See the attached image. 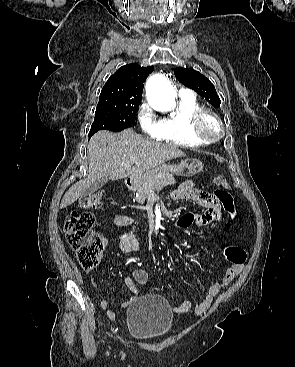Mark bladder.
<instances>
[{
  "mask_svg": "<svg viewBox=\"0 0 295 367\" xmlns=\"http://www.w3.org/2000/svg\"><path fill=\"white\" fill-rule=\"evenodd\" d=\"M174 311L159 295L136 298L126 312L127 331L139 340H159L167 336L174 323Z\"/></svg>",
  "mask_w": 295,
  "mask_h": 367,
  "instance_id": "31cf9c89",
  "label": "bladder"
}]
</instances>
